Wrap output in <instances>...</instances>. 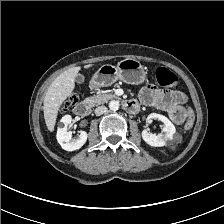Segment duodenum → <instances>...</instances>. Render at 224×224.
<instances>
[{
	"label": "duodenum",
	"mask_w": 224,
	"mask_h": 224,
	"mask_svg": "<svg viewBox=\"0 0 224 224\" xmlns=\"http://www.w3.org/2000/svg\"><path fill=\"white\" fill-rule=\"evenodd\" d=\"M111 97L118 98V96L114 94H112ZM92 105L93 103L91 100H84L82 102H79L74 107V113L79 117H84L90 113ZM123 106L125 111H127L128 113H136L139 109V103L133 100H125L123 102Z\"/></svg>",
	"instance_id": "1"
}]
</instances>
